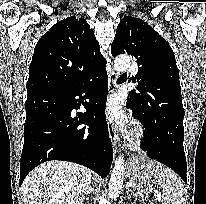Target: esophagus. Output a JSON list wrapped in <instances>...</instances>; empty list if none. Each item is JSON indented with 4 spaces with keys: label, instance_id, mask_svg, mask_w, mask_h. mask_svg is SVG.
Returning <instances> with one entry per match:
<instances>
[{
    "label": "esophagus",
    "instance_id": "1",
    "mask_svg": "<svg viewBox=\"0 0 206 204\" xmlns=\"http://www.w3.org/2000/svg\"><path fill=\"white\" fill-rule=\"evenodd\" d=\"M117 79H118V74L114 70H111L110 75H109V81H108L109 98H111V96L116 91ZM107 126H108L109 137L111 139L114 153H117L118 152V146H117L118 137H117L116 129L114 127V123L109 117H107Z\"/></svg>",
    "mask_w": 206,
    "mask_h": 204
}]
</instances>
